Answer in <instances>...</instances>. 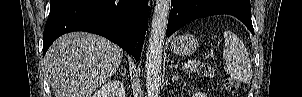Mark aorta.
Wrapping results in <instances>:
<instances>
[{
	"mask_svg": "<svg viewBox=\"0 0 302 97\" xmlns=\"http://www.w3.org/2000/svg\"><path fill=\"white\" fill-rule=\"evenodd\" d=\"M169 9L170 0H156L145 63L148 97H158L160 94L162 53Z\"/></svg>",
	"mask_w": 302,
	"mask_h": 97,
	"instance_id": "1",
	"label": "aorta"
}]
</instances>
